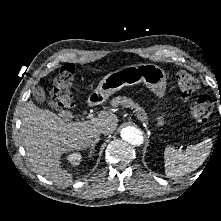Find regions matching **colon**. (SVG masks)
Here are the masks:
<instances>
[{"label": "colon", "instance_id": "1", "mask_svg": "<svg viewBox=\"0 0 221 221\" xmlns=\"http://www.w3.org/2000/svg\"><path fill=\"white\" fill-rule=\"evenodd\" d=\"M75 74L73 64L64 65L53 82L52 99L64 109H72L74 100L71 92ZM177 86L187 111L196 122H205L212 113L213 104L209 96L202 95L191 101V95L199 88L196 78L186 72H179L176 76Z\"/></svg>", "mask_w": 221, "mask_h": 221}]
</instances>
